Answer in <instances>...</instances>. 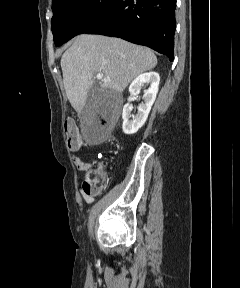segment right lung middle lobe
<instances>
[{
    "mask_svg": "<svg viewBox=\"0 0 240 288\" xmlns=\"http://www.w3.org/2000/svg\"><path fill=\"white\" fill-rule=\"evenodd\" d=\"M112 0H53L51 29L59 46L98 17Z\"/></svg>",
    "mask_w": 240,
    "mask_h": 288,
    "instance_id": "1",
    "label": "right lung middle lobe"
}]
</instances>
